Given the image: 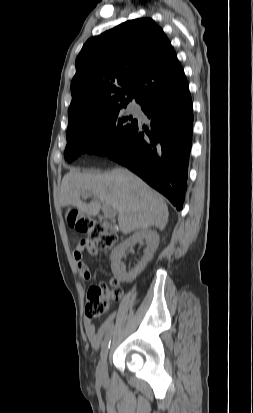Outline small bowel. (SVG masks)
I'll return each mask as SVG.
<instances>
[{"label":"small bowel","instance_id":"small-bowel-1","mask_svg":"<svg viewBox=\"0 0 253 413\" xmlns=\"http://www.w3.org/2000/svg\"><path fill=\"white\" fill-rule=\"evenodd\" d=\"M87 251L92 256L98 255L97 247L89 242L88 240H82L76 246L73 252V259L76 263V266L80 273L83 275L85 279H89L90 273L88 270L87 265L83 260V253ZM116 313H111L99 327H96L92 318L86 317L84 319V329L87 335V338L91 344V346L95 349L99 348L100 345L103 343V339L108 334V332L113 328L114 321H115Z\"/></svg>","mask_w":253,"mask_h":413}]
</instances>
